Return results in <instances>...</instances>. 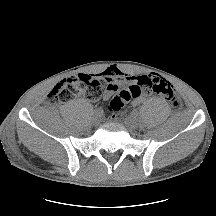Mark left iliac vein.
<instances>
[{"mask_svg": "<svg viewBox=\"0 0 216 216\" xmlns=\"http://www.w3.org/2000/svg\"><path fill=\"white\" fill-rule=\"evenodd\" d=\"M125 125L130 131H135L138 128V120L135 115H130L125 119Z\"/></svg>", "mask_w": 216, "mask_h": 216, "instance_id": "obj_1", "label": "left iliac vein"}]
</instances>
